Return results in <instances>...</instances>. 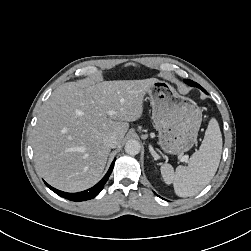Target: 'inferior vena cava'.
<instances>
[{"mask_svg":"<svg viewBox=\"0 0 251 251\" xmlns=\"http://www.w3.org/2000/svg\"><path fill=\"white\" fill-rule=\"evenodd\" d=\"M105 144L110 148H115L118 145V138L116 135H109L104 140Z\"/></svg>","mask_w":251,"mask_h":251,"instance_id":"inferior-vena-cava-1","label":"inferior vena cava"}]
</instances>
